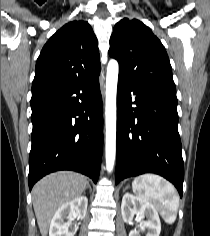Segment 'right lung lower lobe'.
Wrapping results in <instances>:
<instances>
[{
    "mask_svg": "<svg viewBox=\"0 0 210 236\" xmlns=\"http://www.w3.org/2000/svg\"><path fill=\"white\" fill-rule=\"evenodd\" d=\"M98 76L99 72L31 104L30 190L40 178L58 170L77 171L97 182L103 148Z\"/></svg>",
    "mask_w": 210,
    "mask_h": 236,
    "instance_id": "1",
    "label": "right lung lower lobe"
}]
</instances>
